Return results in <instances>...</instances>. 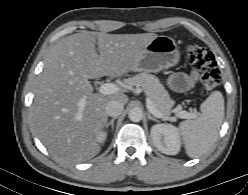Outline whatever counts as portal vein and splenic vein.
Returning <instances> with one entry per match:
<instances>
[{"instance_id":"1","label":"portal vein and splenic vein","mask_w":248,"mask_h":195,"mask_svg":"<svg viewBox=\"0 0 248 195\" xmlns=\"http://www.w3.org/2000/svg\"><path fill=\"white\" fill-rule=\"evenodd\" d=\"M120 90H121V88L118 85L113 84V83L102 84L98 89L99 93L104 94V95L114 94V93L119 92ZM84 105H85L84 101L79 102V106L81 108H83ZM146 106H147V109L149 110V112H151L154 116H156L157 118H164V115L154 107L153 102L150 99V97H147V99H146ZM177 116L179 118H183V119H191V118L196 117V115L194 113H189L187 111H181L177 114ZM171 119H173V118H171Z\"/></svg>"}]
</instances>
